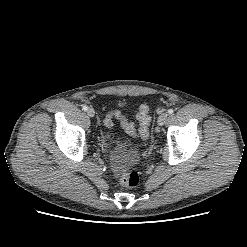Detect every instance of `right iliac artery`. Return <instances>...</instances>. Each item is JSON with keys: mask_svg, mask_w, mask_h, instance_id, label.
<instances>
[{"mask_svg": "<svg viewBox=\"0 0 247 247\" xmlns=\"http://www.w3.org/2000/svg\"><path fill=\"white\" fill-rule=\"evenodd\" d=\"M82 109H83L84 111H87V110H88V107H87L86 105H83V106H82Z\"/></svg>", "mask_w": 247, "mask_h": 247, "instance_id": "1", "label": "right iliac artery"}]
</instances>
